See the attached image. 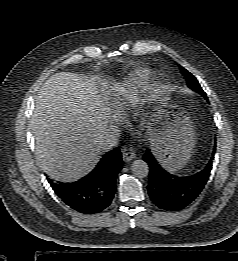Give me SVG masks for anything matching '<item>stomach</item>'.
<instances>
[{"instance_id": "0dacf381", "label": "stomach", "mask_w": 238, "mask_h": 261, "mask_svg": "<svg viewBox=\"0 0 238 261\" xmlns=\"http://www.w3.org/2000/svg\"><path fill=\"white\" fill-rule=\"evenodd\" d=\"M145 107L152 113L148 139L153 154L167 170H179L189 160L195 145L190 117L159 93L148 95Z\"/></svg>"}]
</instances>
